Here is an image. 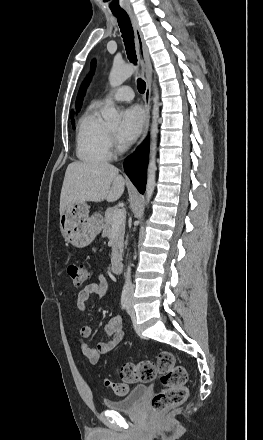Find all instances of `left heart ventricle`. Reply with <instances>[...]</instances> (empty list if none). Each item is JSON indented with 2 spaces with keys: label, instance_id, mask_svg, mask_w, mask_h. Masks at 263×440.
<instances>
[{
  "label": "left heart ventricle",
  "instance_id": "1",
  "mask_svg": "<svg viewBox=\"0 0 263 440\" xmlns=\"http://www.w3.org/2000/svg\"><path fill=\"white\" fill-rule=\"evenodd\" d=\"M110 130H112L113 132L117 130V126H112L110 127Z\"/></svg>",
  "mask_w": 263,
  "mask_h": 440
}]
</instances>
